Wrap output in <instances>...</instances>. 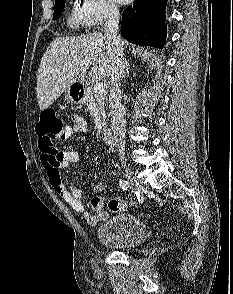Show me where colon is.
Masks as SVG:
<instances>
[{
    "label": "colon",
    "instance_id": "colon-1",
    "mask_svg": "<svg viewBox=\"0 0 233 294\" xmlns=\"http://www.w3.org/2000/svg\"><path fill=\"white\" fill-rule=\"evenodd\" d=\"M64 124L62 119L52 109H47L40 114L36 124V133L39 137L40 150L50 156H57L55 143L61 139ZM107 207L111 211L124 209L123 204L117 199L107 202Z\"/></svg>",
    "mask_w": 233,
    "mask_h": 294
}]
</instances>
